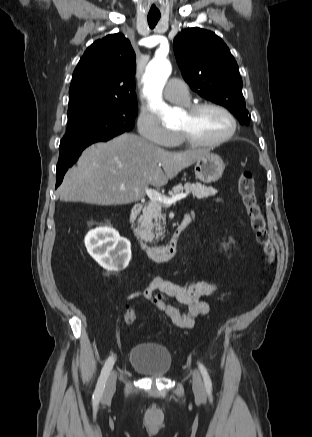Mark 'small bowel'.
Masks as SVG:
<instances>
[{
	"instance_id": "small-bowel-1",
	"label": "small bowel",
	"mask_w": 312,
	"mask_h": 437,
	"mask_svg": "<svg viewBox=\"0 0 312 437\" xmlns=\"http://www.w3.org/2000/svg\"><path fill=\"white\" fill-rule=\"evenodd\" d=\"M215 290L216 286L207 281L183 286L155 276L146 288L132 292L128 298L144 297L164 312L173 325L190 329L194 327L197 317L209 312L210 304L206 298Z\"/></svg>"
}]
</instances>
